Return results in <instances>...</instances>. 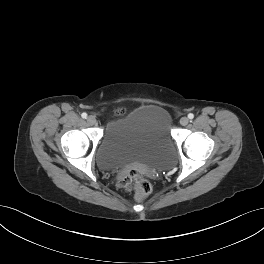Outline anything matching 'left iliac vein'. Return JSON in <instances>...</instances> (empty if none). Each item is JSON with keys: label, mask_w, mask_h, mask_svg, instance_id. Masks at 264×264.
Returning <instances> with one entry per match:
<instances>
[{"label": "left iliac vein", "mask_w": 264, "mask_h": 264, "mask_svg": "<svg viewBox=\"0 0 264 264\" xmlns=\"http://www.w3.org/2000/svg\"><path fill=\"white\" fill-rule=\"evenodd\" d=\"M179 122L182 126H186L189 122V119L187 117H182Z\"/></svg>", "instance_id": "obj_1"}]
</instances>
